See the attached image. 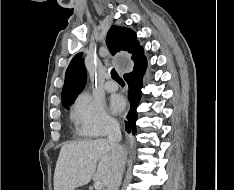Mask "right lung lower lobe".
I'll return each instance as SVG.
<instances>
[{"label":"right lung lower lobe","instance_id":"right-lung-lower-lobe-1","mask_svg":"<svg viewBox=\"0 0 234 190\" xmlns=\"http://www.w3.org/2000/svg\"><path fill=\"white\" fill-rule=\"evenodd\" d=\"M146 58L144 56V51H142L137 58L134 60V69L132 72L124 74V79L129 86V102L130 110L126 116L127 122L125 123L126 131L136 133V120L138 113L136 108L141 98V87H142V75L146 68Z\"/></svg>","mask_w":234,"mask_h":190}]
</instances>
